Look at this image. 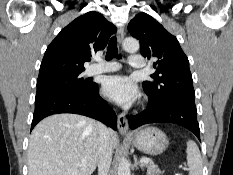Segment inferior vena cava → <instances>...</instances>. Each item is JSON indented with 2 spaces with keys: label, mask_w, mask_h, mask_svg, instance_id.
<instances>
[{
  "label": "inferior vena cava",
  "mask_w": 233,
  "mask_h": 175,
  "mask_svg": "<svg viewBox=\"0 0 233 175\" xmlns=\"http://www.w3.org/2000/svg\"><path fill=\"white\" fill-rule=\"evenodd\" d=\"M112 161V146L107 127L98 123V175H108Z\"/></svg>",
  "instance_id": "inferior-vena-cava-1"
}]
</instances>
